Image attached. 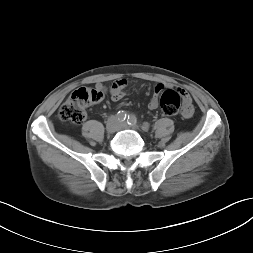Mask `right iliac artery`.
<instances>
[{"instance_id": "right-iliac-artery-1", "label": "right iliac artery", "mask_w": 253, "mask_h": 253, "mask_svg": "<svg viewBox=\"0 0 253 253\" xmlns=\"http://www.w3.org/2000/svg\"><path fill=\"white\" fill-rule=\"evenodd\" d=\"M117 116L120 121H124L128 115L125 111L122 110L117 113Z\"/></svg>"}]
</instances>
